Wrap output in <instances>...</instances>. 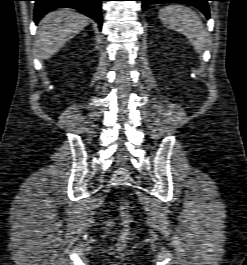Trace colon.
Wrapping results in <instances>:
<instances>
[{
    "mask_svg": "<svg viewBox=\"0 0 247 265\" xmlns=\"http://www.w3.org/2000/svg\"><path fill=\"white\" fill-rule=\"evenodd\" d=\"M131 206L128 200L123 199L119 204V212L121 217V231L117 238L116 246L123 249L129 242L131 235Z\"/></svg>",
    "mask_w": 247,
    "mask_h": 265,
    "instance_id": "colon-1",
    "label": "colon"
}]
</instances>
